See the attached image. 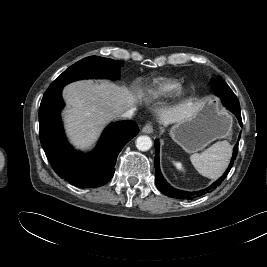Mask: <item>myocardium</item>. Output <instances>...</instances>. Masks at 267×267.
Segmentation results:
<instances>
[{"instance_id":"1","label":"myocardium","mask_w":267,"mask_h":267,"mask_svg":"<svg viewBox=\"0 0 267 267\" xmlns=\"http://www.w3.org/2000/svg\"><path fill=\"white\" fill-rule=\"evenodd\" d=\"M186 94V91L184 88H179L175 93V100H181Z\"/></svg>"}]
</instances>
